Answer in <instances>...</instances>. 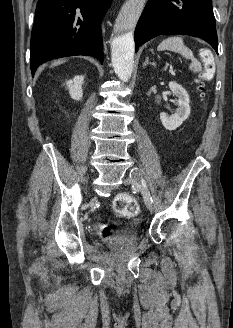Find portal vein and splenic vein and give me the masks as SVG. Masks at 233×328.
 Returning a JSON list of instances; mask_svg holds the SVG:
<instances>
[{"label":"portal vein and splenic vein","instance_id":"18ae733b","mask_svg":"<svg viewBox=\"0 0 233 328\" xmlns=\"http://www.w3.org/2000/svg\"><path fill=\"white\" fill-rule=\"evenodd\" d=\"M169 72H170L172 75H175V71H173V70H169Z\"/></svg>","mask_w":233,"mask_h":328}]
</instances>
